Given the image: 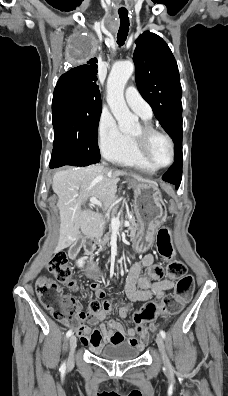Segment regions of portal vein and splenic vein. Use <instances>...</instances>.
<instances>
[{"label": "portal vein and splenic vein", "mask_w": 228, "mask_h": 396, "mask_svg": "<svg viewBox=\"0 0 228 396\" xmlns=\"http://www.w3.org/2000/svg\"><path fill=\"white\" fill-rule=\"evenodd\" d=\"M89 201H90V204H91V205H97V206H99V207H102V203H101L96 197H91V198L89 199ZM111 225H112V227H119V226H120V221H119V219L113 217V218L111 219ZM124 226H129V221H125V222H124Z\"/></svg>", "instance_id": "1"}]
</instances>
